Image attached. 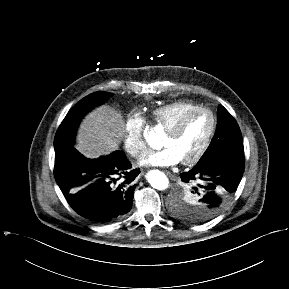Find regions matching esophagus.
<instances>
[{"label": "esophagus", "instance_id": "esophagus-1", "mask_svg": "<svg viewBox=\"0 0 289 289\" xmlns=\"http://www.w3.org/2000/svg\"><path fill=\"white\" fill-rule=\"evenodd\" d=\"M167 175H168L170 178H173V175H172L170 172H167Z\"/></svg>", "mask_w": 289, "mask_h": 289}]
</instances>
